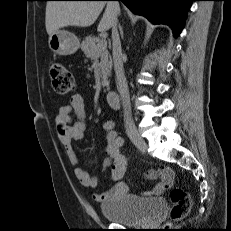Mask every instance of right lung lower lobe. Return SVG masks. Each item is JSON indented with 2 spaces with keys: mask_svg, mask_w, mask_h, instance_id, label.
<instances>
[{
  "mask_svg": "<svg viewBox=\"0 0 231 231\" xmlns=\"http://www.w3.org/2000/svg\"><path fill=\"white\" fill-rule=\"evenodd\" d=\"M105 1V0H102ZM133 13L147 17L152 23L168 24L175 37L184 26L186 11L194 0H117Z\"/></svg>",
  "mask_w": 231,
  "mask_h": 231,
  "instance_id": "98d812e1",
  "label": "right lung lower lobe"
}]
</instances>
